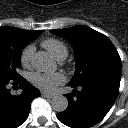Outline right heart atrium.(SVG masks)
I'll return each instance as SVG.
<instances>
[{
  "mask_svg": "<svg viewBox=\"0 0 128 128\" xmlns=\"http://www.w3.org/2000/svg\"><path fill=\"white\" fill-rule=\"evenodd\" d=\"M35 52L34 45H27L21 52L20 62L23 67L29 68L32 65V60Z\"/></svg>",
  "mask_w": 128,
  "mask_h": 128,
  "instance_id": "d8ad5b80",
  "label": "right heart atrium"
}]
</instances>
